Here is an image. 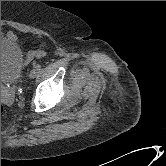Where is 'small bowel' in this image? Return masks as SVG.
<instances>
[{
  "instance_id": "c3829d8e",
  "label": "small bowel",
  "mask_w": 166,
  "mask_h": 166,
  "mask_svg": "<svg viewBox=\"0 0 166 166\" xmlns=\"http://www.w3.org/2000/svg\"><path fill=\"white\" fill-rule=\"evenodd\" d=\"M8 36L11 37V38L15 37L13 33H9Z\"/></svg>"
}]
</instances>
